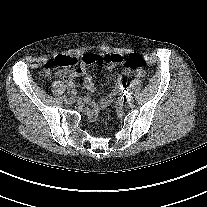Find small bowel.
Listing matches in <instances>:
<instances>
[{"instance_id": "small-bowel-1", "label": "small bowel", "mask_w": 207, "mask_h": 207, "mask_svg": "<svg viewBox=\"0 0 207 207\" xmlns=\"http://www.w3.org/2000/svg\"><path fill=\"white\" fill-rule=\"evenodd\" d=\"M109 70H112L113 69V66H109L108 67ZM127 74V75H131L135 78H141L143 77L144 75V72L143 71H134V72H130V71H125L124 73H118L115 75V81H116V88L115 90H113L112 92L100 97V102H99V105L97 104H91L92 107L87 111V116H88V119L89 120H95L100 111L101 110H105L107 109L110 104L112 103V100L114 98V96L118 93V92H123L125 90V85L123 83V79H124V75ZM74 75H82L84 77L83 79V82H84V86L85 88L89 91V92H95L96 90V87H95V83H94V80L92 78L91 75H89L87 72H86V69L85 67H81L79 68L75 73ZM59 76L60 77H64V78H67L68 77V73L66 72H60L59 73ZM70 88L73 90L74 87L72 85H70Z\"/></svg>"}]
</instances>
